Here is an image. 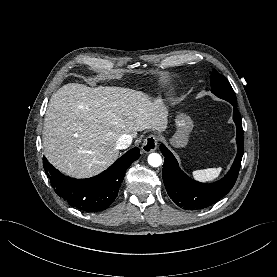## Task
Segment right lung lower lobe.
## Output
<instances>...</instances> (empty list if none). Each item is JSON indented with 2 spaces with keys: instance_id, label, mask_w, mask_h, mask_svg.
I'll return each instance as SVG.
<instances>
[{
  "instance_id": "1",
  "label": "right lung lower lobe",
  "mask_w": 277,
  "mask_h": 277,
  "mask_svg": "<svg viewBox=\"0 0 277 277\" xmlns=\"http://www.w3.org/2000/svg\"><path fill=\"white\" fill-rule=\"evenodd\" d=\"M140 150H129L101 174L88 179H74L61 174L44 157L43 166L56 193L72 207L84 212L107 209L118 195L126 169L140 157Z\"/></svg>"
}]
</instances>
